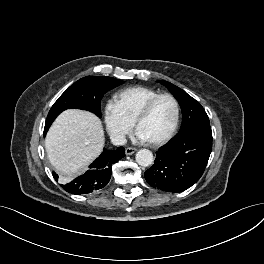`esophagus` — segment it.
Instances as JSON below:
<instances>
[{"label": "esophagus", "instance_id": "esophagus-1", "mask_svg": "<svg viewBox=\"0 0 264 264\" xmlns=\"http://www.w3.org/2000/svg\"><path fill=\"white\" fill-rule=\"evenodd\" d=\"M136 151H137L136 148L128 147V148H126L125 153H126V155H132V154H134Z\"/></svg>", "mask_w": 264, "mask_h": 264}]
</instances>
